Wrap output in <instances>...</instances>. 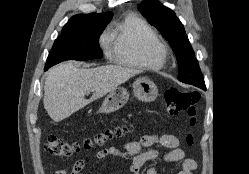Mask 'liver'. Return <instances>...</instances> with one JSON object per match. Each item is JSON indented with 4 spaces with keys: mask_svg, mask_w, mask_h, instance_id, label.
Segmentation results:
<instances>
[{
    "mask_svg": "<svg viewBox=\"0 0 249 174\" xmlns=\"http://www.w3.org/2000/svg\"><path fill=\"white\" fill-rule=\"evenodd\" d=\"M140 73L141 70L117 65L84 69L71 62L59 64L47 73L44 108L54 122L62 121ZM91 91L92 97L85 99Z\"/></svg>",
    "mask_w": 249,
    "mask_h": 174,
    "instance_id": "1",
    "label": "liver"
}]
</instances>
